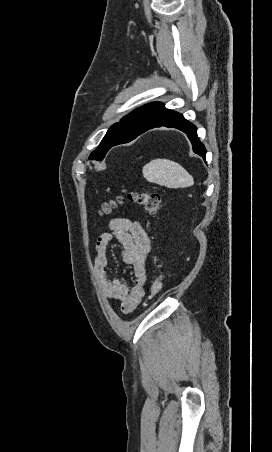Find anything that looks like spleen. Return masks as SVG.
Masks as SVG:
<instances>
[{
  "label": "spleen",
  "mask_w": 272,
  "mask_h": 452,
  "mask_svg": "<svg viewBox=\"0 0 272 452\" xmlns=\"http://www.w3.org/2000/svg\"><path fill=\"white\" fill-rule=\"evenodd\" d=\"M147 181L169 188L189 187L194 184L193 177L177 162L168 159H155L143 167Z\"/></svg>",
  "instance_id": "spleen-1"
}]
</instances>
